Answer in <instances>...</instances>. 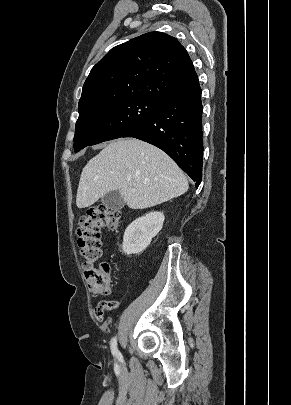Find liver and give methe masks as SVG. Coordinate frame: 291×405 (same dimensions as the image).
I'll return each mask as SVG.
<instances>
[{
	"label": "liver",
	"instance_id": "obj_1",
	"mask_svg": "<svg viewBox=\"0 0 291 405\" xmlns=\"http://www.w3.org/2000/svg\"><path fill=\"white\" fill-rule=\"evenodd\" d=\"M188 187L186 176L165 152L135 138H120L83 168L76 204L89 207L117 190L129 208L144 209L179 197Z\"/></svg>",
	"mask_w": 291,
	"mask_h": 405
}]
</instances>
